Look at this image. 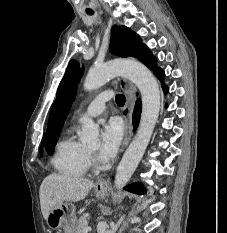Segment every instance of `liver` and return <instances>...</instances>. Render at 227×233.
Here are the masks:
<instances>
[{
    "mask_svg": "<svg viewBox=\"0 0 227 233\" xmlns=\"http://www.w3.org/2000/svg\"><path fill=\"white\" fill-rule=\"evenodd\" d=\"M93 187L94 183L91 180L57 173L49 174L39 190L41 212L46 222L50 212L56 207L64 202L83 200Z\"/></svg>",
    "mask_w": 227,
    "mask_h": 233,
    "instance_id": "1",
    "label": "liver"
}]
</instances>
